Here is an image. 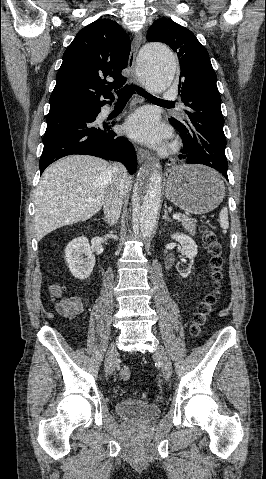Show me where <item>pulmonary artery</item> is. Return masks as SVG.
I'll return each instance as SVG.
<instances>
[{
	"label": "pulmonary artery",
	"mask_w": 266,
	"mask_h": 479,
	"mask_svg": "<svg viewBox=\"0 0 266 479\" xmlns=\"http://www.w3.org/2000/svg\"><path fill=\"white\" fill-rule=\"evenodd\" d=\"M176 96H177V89L172 87H167L162 93V97L165 100L175 99Z\"/></svg>",
	"instance_id": "pulmonary-artery-1"
}]
</instances>
